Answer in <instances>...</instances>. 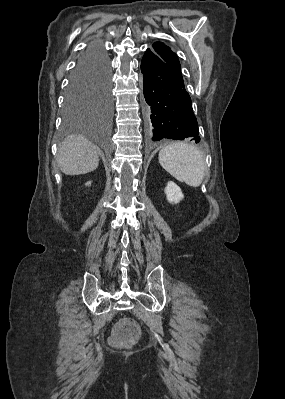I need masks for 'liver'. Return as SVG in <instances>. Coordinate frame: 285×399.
I'll list each match as a JSON object with an SVG mask.
<instances>
[{
    "label": "liver",
    "instance_id": "1",
    "mask_svg": "<svg viewBox=\"0 0 285 399\" xmlns=\"http://www.w3.org/2000/svg\"><path fill=\"white\" fill-rule=\"evenodd\" d=\"M100 149L83 136H68L60 145L57 162L66 175H81L99 165Z\"/></svg>",
    "mask_w": 285,
    "mask_h": 399
}]
</instances>
